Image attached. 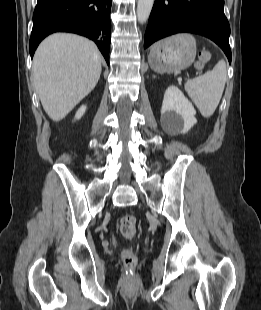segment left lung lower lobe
<instances>
[{
	"label": "left lung lower lobe",
	"instance_id": "obj_1",
	"mask_svg": "<svg viewBox=\"0 0 261 310\" xmlns=\"http://www.w3.org/2000/svg\"><path fill=\"white\" fill-rule=\"evenodd\" d=\"M223 7L224 0H155L144 48L175 33H197L218 44L231 63L230 26Z\"/></svg>",
	"mask_w": 261,
	"mask_h": 310
}]
</instances>
